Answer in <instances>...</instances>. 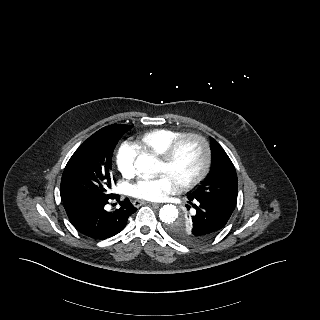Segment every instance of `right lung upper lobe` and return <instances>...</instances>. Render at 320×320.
<instances>
[{
  "label": "right lung upper lobe",
  "instance_id": "cb5924a9",
  "mask_svg": "<svg viewBox=\"0 0 320 320\" xmlns=\"http://www.w3.org/2000/svg\"><path fill=\"white\" fill-rule=\"evenodd\" d=\"M112 125H118V124H112ZM112 125H110V126H112Z\"/></svg>",
  "mask_w": 320,
  "mask_h": 320
}]
</instances>
